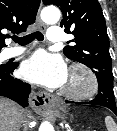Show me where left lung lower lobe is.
<instances>
[{
    "label": "left lung lower lobe",
    "instance_id": "obj_1",
    "mask_svg": "<svg viewBox=\"0 0 117 131\" xmlns=\"http://www.w3.org/2000/svg\"><path fill=\"white\" fill-rule=\"evenodd\" d=\"M66 103H81V104H94L101 105L111 109L117 115V109L115 101L112 98V92L110 89L104 88L103 90H98L96 98L90 102H73L66 101Z\"/></svg>",
    "mask_w": 117,
    "mask_h": 131
}]
</instances>
